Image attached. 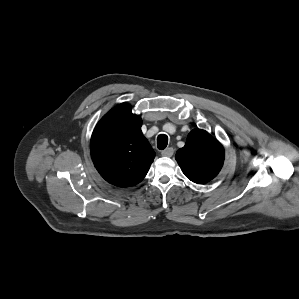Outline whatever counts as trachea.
<instances>
[{
	"label": "trachea",
	"mask_w": 299,
	"mask_h": 299,
	"mask_svg": "<svg viewBox=\"0 0 299 299\" xmlns=\"http://www.w3.org/2000/svg\"><path fill=\"white\" fill-rule=\"evenodd\" d=\"M168 144V136L165 134H161L157 138V147L160 150H163L167 147Z\"/></svg>",
	"instance_id": "3493384b"
}]
</instances>
